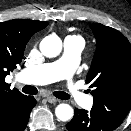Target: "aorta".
I'll list each match as a JSON object with an SVG mask.
<instances>
[{
	"mask_svg": "<svg viewBox=\"0 0 131 131\" xmlns=\"http://www.w3.org/2000/svg\"><path fill=\"white\" fill-rule=\"evenodd\" d=\"M40 50L45 57H56L61 53L62 41L56 35L46 36L40 43ZM55 114L59 120L68 121L73 117V109L70 105L62 103L56 107Z\"/></svg>",
	"mask_w": 131,
	"mask_h": 131,
	"instance_id": "1",
	"label": "aorta"
}]
</instances>
